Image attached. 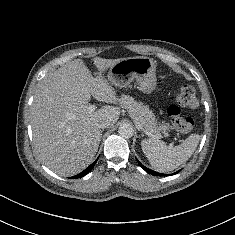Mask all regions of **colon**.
Here are the masks:
<instances>
[{
	"mask_svg": "<svg viewBox=\"0 0 235 235\" xmlns=\"http://www.w3.org/2000/svg\"><path fill=\"white\" fill-rule=\"evenodd\" d=\"M199 105L193 87L184 85L179 90L174 102L168 107V114L172 120L174 128L181 133H188L193 128V119L183 114L181 109H195Z\"/></svg>",
	"mask_w": 235,
	"mask_h": 235,
	"instance_id": "5ec220e1",
	"label": "colon"
}]
</instances>
